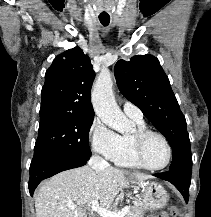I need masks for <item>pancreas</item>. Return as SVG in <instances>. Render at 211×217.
Here are the masks:
<instances>
[{
    "label": "pancreas",
    "instance_id": "cf45deb5",
    "mask_svg": "<svg viewBox=\"0 0 211 217\" xmlns=\"http://www.w3.org/2000/svg\"><path fill=\"white\" fill-rule=\"evenodd\" d=\"M133 206L130 207L126 217H143L144 208L142 200L140 198H134L132 200Z\"/></svg>",
    "mask_w": 211,
    "mask_h": 217
}]
</instances>
